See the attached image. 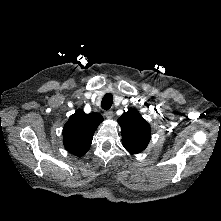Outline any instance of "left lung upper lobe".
I'll return each instance as SVG.
<instances>
[{
	"label": "left lung upper lobe",
	"mask_w": 221,
	"mask_h": 221,
	"mask_svg": "<svg viewBox=\"0 0 221 221\" xmlns=\"http://www.w3.org/2000/svg\"><path fill=\"white\" fill-rule=\"evenodd\" d=\"M121 127L122 145L130 154L143 151L150 139L151 129L149 123L133 108L128 109L118 119Z\"/></svg>",
	"instance_id": "left-lung-upper-lobe-1"
}]
</instances>
